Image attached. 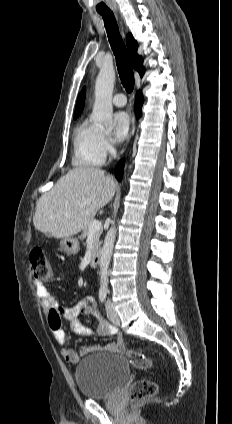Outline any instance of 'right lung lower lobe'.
<instances>
[{"label": "right lung lower lobe", "instance_id": "98d812e1", "mask_svg": "<svg viewBox=\"0 0 232 424\" xmlns=\"http://www.w3.org/2000/svg\"><path fill=\"white\" fill-rule=\"evenodd\" d=\"M143 99L141 92H137L136 102H135V113L137 116H140L141 107H142ZM124 169V161L121 160L116 167V177L118 180H121Z\"/></svg>", "mask_w": 232, "mask_h": 424}]
</instances>
